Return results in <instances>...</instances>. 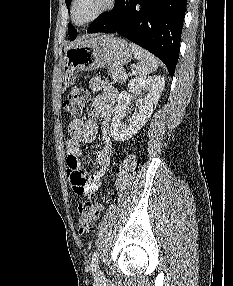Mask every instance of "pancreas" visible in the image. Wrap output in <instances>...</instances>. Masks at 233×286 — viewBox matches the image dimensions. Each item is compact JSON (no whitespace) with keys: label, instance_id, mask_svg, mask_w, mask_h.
I'll use <instances>...</instances> for the list:
<instances>
[{"label":"pancreas","instance_id":"1","mask_svg":"<svg viewBox=\"0 0 233 286\" xmlns=\"http://www.w3.org/2000/svg\"><path fill=\"white\" fill-rule=\"evenodd\" d=\"M107 73L114 82L123 83L127 79L124 76L125 70L122 67L108 68Z\"/></svg>","mask_w":233,"mask_h":286}]
</instances>
